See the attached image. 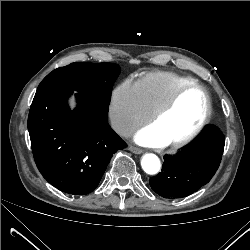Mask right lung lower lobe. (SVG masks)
I'll list each match as a JSON object with an SVG mask.
<instances>
[{
  "label": "right lung lower lobe",
  "mask_w": 250,
  "mask_h": 250,
  "mask_svg": "<svg viewBox=\"0 0 250 250\" xmlns=\"http://www.w3.org/2000/svg\"><path fill=\"white\" fill-rule=\"evenodd\" d=\"M73 91L64 86L37 91L28 130L43 177L61 191L85 195L97 187L112 155L126 143L108 125L109 104L79 93L71 111L67 99Z\"/></svg>",
  "instance_id": "right-lung-lower-lobe-1"
}]
</instances>
